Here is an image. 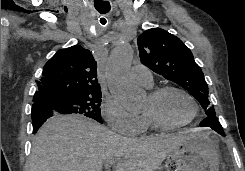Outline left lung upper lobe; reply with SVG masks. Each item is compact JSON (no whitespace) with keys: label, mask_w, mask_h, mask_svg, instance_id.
I'll use <instances>...</instances> for the list:
<instances>
[{"label":"left lung upper lobe","mask_w":245,"mask_h":171,"mask_svg":"<svg viewBox=\"0 0 245 171\" xmlns=\"http://www.w3.org/2000/svg\"><path fill=\"white\" fill-rule=\"evenodd\" d=\"M141 62L154 72L190 92L206 111L217 118L208 99V85L201 68L195 63L191 50L176 36L153 28L137 39Z\"/></svg>","instance_id":"1"}]
</instances>
